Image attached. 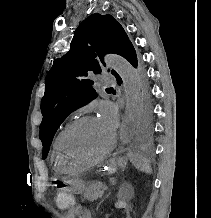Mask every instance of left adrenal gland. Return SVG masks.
I'll list each match as a JSON object with an SVG mask.
<instances>
[{
	"instance_id": "a2214340",
	"label": "left adrenal gland",
	"mask_w": 211,
	"mask_h": 218,
	"mask_svg": "<svg viewBox=\"0 0 211 218\" xmlns=\"http://www.w3.org/2000/svg\"><path fill=\"white\" fill-rule=\"evenodd\" d=\"M110 194H111V192H109L108 196H110ZM108 196H107V198H108ZM100 204H101V202H100ZM100 204H98V206H97V210H98Z\"/></svg>"
}]
</instances>
